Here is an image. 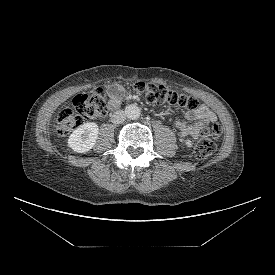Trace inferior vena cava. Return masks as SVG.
Masks as SVG:
<instances>
[{
    "instance_id": "obj_1",
    "label": "inferior vena cava",
    "mask_w": 275,
    "mask_h": 275,
    "mask_svg": "<svg viewBox=\"0 0 275 275\" xmlns=\"http://www.w3.org/2000/svg\"><path fill=\"white\" fill-rule=\"evenodd\" d=\"M126 119V115L124 111L118 110L114 112V114L111 117V122L114 124H120L124 122Z\"/></svg>"
}]
</instances>
